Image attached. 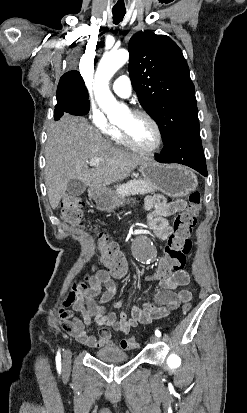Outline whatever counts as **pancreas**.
Masks as SVG:
<instances>
[{
	"label": "pancreas",
	"mask_w": 247,
	"mask_h": 413,
	"mask_svg": "<svg viewBox=\"0 0 247 413\" xmlns=\"http://www.w3.org/2000/svg\"><path fill=\"white\" fill-rule=\"evenodd\" d=\"M115 192L118 196L124 198V196H131V194L155 192V188L152 184H149L147 180H143V178H132V180H128V182H124V184H119Z\"/></svg>",
	"instance_id": "obj_1"
}]
</instances>
